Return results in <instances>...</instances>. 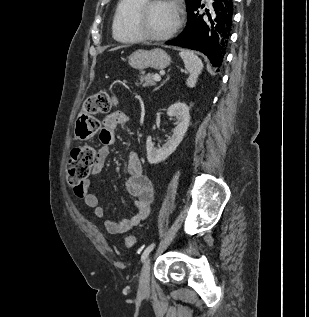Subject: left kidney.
Returning <instances> with one entry per match:
<instances>
[{
	"label": "left kidney",
	"instance_id": "obj_1",
	"mask_svg": "<svg viewBox=\"0 0 309 317\" xmlns=\"http://www.w3.org/2000/svg\"><path fill=\"white\" fill-rule=\"evenodd\" d=\"M189 107L185 103L177 102L171 105L167 114L170 117H175L177 126L174 128L173 135L160 148H155L151 137L147 138L146 150L147 160L150 164H157L170 156L183 140L185 133L190 124Z\"/></svg>",
	"mask_w": 309,
	"mask_h": 317
}]
</instances>
